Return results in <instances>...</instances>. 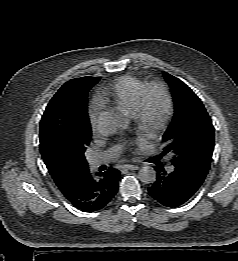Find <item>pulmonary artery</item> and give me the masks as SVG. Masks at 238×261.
Segmentation results:
<instances>
[{"instance_id":"1","label":"pulmonary artery","mask_w":238,"mask_h":261,"mask_svg":"<svg viewBox=\"0 0 238 261\" xmlns=\"http://www.w3.org/2000/svg\"><path fill=\"white\" fill-rule=\"evenodd\" d=\"M119 154V148L114 147L111 149H108L104 152L98 153L97 155H95L94 157H92L90 159V163L92 165V167H96L102 163L108 162L114 158H116ZM170 170H172L173 168L170 167Z\"/></svg>"}]
</instances>
